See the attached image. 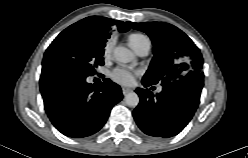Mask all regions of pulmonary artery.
<instances>
[{"instance_id":"obj_1","label":"pulmonary artery","mask_w":248,"mask_h":158,"mask_svg":"<svg viewBox=\"0 0 248 158\" xmlns=\"http://www.w3.org/2000/svg\"><path fill=\"white\" fill-rule=\"evenodd\" d=\"M150 46V41L145 39L136 49V53L140 56H146L150 51ZM158 91H161V88H159Z\"/></svg>"}]
</instances>
